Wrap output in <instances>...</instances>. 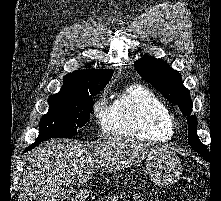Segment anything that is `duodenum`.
<instances>
[{"instance_id":"duodenum-1","label":"duodenum","mask_w":221,"mask_h":201,"mask_svg":"<svg viewBox=\"0 0 221 201\" xmlns=\"http://www.w3.org/2000/svg\"><path fill=\"white\" fill-rule=\"evenodd\" d=\"M76 201H85V198L82 196H79Z\"/></svg>"}]
</instances>
